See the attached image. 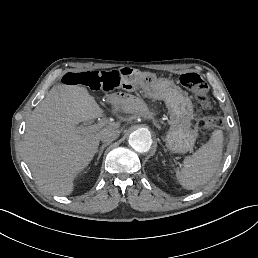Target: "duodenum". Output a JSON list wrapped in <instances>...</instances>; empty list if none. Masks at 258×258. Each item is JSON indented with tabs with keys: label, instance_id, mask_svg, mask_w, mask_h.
Here are the masks:
<instances>
[{
	"label": "duodenum",
	"instance_id": "1",
	"mask_svg": "<svg viewBox=\"0 0 258 258\" xmlns=\"http://www.w3.org/2000/svg\"><path fill=\"white\" fill-rule=\"evenodd\" d=\"M117 73L123 81H132L136 77V71L131 67L118 68Z\"/></svg>",
	"mask_w": 258,
	"mask_h": 258
}]
</instances>
